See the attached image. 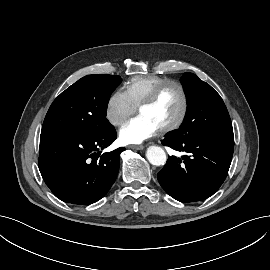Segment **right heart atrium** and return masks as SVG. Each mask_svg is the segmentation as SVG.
I'll return each mask as SVG.
<instances>
[{"instance_id": "obj_1", "label": "right heart atrium", "mask_w": 270, "mask_h": 270, "mask_svg": "<svg viewBox=\"0 0 270 270\" xmlns=\"http://www.w3.org/2000/svg\"><path fill=\"white\" fill-rule=\"evenodd\" d=\"M137 110V107L130 100L127 93L122 89H117L109 96L106 108V120L115 127L124 123Z\"/></svg>"}]
</instances>
